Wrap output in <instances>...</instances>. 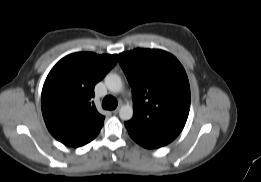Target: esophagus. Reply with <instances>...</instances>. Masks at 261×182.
<instances>
[{"instance_id": "esophagus-1", "label": "esophagus", "mask_w": 261, "mask_h": 182, "mask_svg": "<svg viewBox=\"0 0 261 182\" xmlns=\"http://www.w3.org/2000/svg\"><path fill=\"white\" fill-rule=\"evenodd\" d=\"M118 111H119V108H116V109H114V110L112 111V113H113L114 115H116V114L118 113Z\"/></svg>"}]
</instances>
